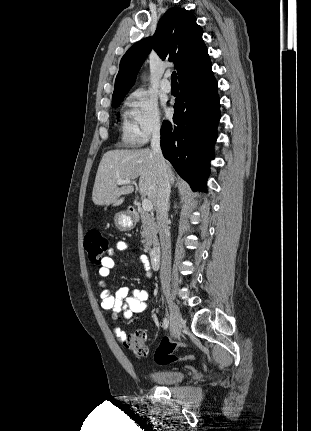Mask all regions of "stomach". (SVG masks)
I'll return each instance as SVG.
<instances>
[{
	"mask_svg": "<svg viewBox=\"0 0 311 431\" xmlns=\"http://www.w3.org/2000/svg\"><path fill=\"white\" fill-rule=\"evenodd\" d=\"M114 223L120 231H129L136 225L135 217L130 216L128 212H118L114 216Z\"/></svg>",
	"mask_w": 311,
	"mask_h": 431,
	"instance_id": "0dacf381",
	"label": "stomach"
}]
</instances>
